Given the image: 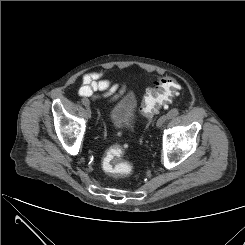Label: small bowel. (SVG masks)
I'll use <instances>...</instances> for the list:
<instances>
[{"mask_svg":"<svg viewBox=\"0 0 245 245\" xmlns=\"http://www.w3.org/2000/svg\"><path fill=\"white\" fill-rule=\"evenodd\" d=\"M124 91V86L111 84L104 78L102 72H91L83 76L79 95L82 97H97L103 94L109 101H114Z\"/></svg>","mask_w":245,"mask_h":245,"instance_id":"c3829d8e","label":"small bowel"}]
</instances>
